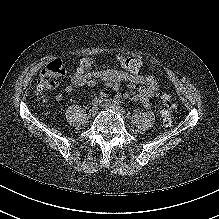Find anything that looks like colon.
Listing matches in <instances>:
<instances>
[{
	"label": "colon",
	"instance_id": "1",
	"mask_svg": "<svg viewBox=\"0 0 219 219\" xmlns=\"http://www.w3.org/2000/svg\"><path fill=\"white\" fill-rule=\"evenodd\" d=\"M84 66H91L92 60L85 59L83 61ZM65 73L64 66L59 59H55L49 62L40 72L38 82H37V92L39 94L44 93L46 91H50L55 89L61 79L63 78ZM160 98L164 104L165 112L163 113V124L168 126L172 122L173 112L175 110V102L173 97L168 93H161Z\"/></svg>",
	"mask_w": 219,
	"mask_h": 219
}]
</instances>
